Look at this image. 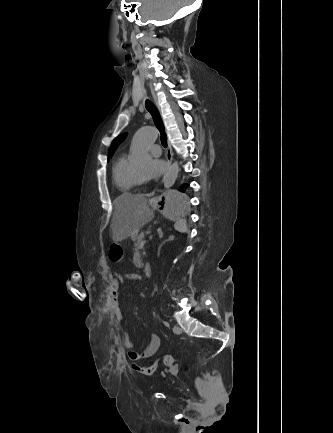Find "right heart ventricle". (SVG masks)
Returning a JSON list of instances; mask_svg holds the SVG:
<instances>
[{"label": "right heart ventricle", "instance_id": "obj_1", "mask_svg": "<svg viewBox=\"0 0 333 433\" xmlns=\"http://www.w3.org/2000/svg\"><path fill=\"white\" fill-rule=\"evenodd\" d=\"M132 169L133 167L124 153L116 158L112 169V176L116 188L121 193H127L135 186Z\"/></svg>", "mask_w": 333, "mask_h": 433}]
</instances>
